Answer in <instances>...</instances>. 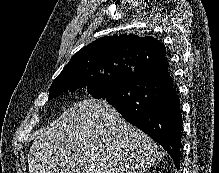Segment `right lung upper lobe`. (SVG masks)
I'll use <instances>...</instances> for the list:
<instances>
[{"label":"right lung upper lobe","instance_id":"cb5924a9","mask_svg":"<svg viewBox=\"0 0 219 173\" xmlns=\"http://www.w3.org/2000/svg\"><path fill=\"white\" fill-rule=\"evenodd\" d=\"M165 54L164 44L151 36L139 37L134 34L104 36L78 51L59 76L67 72L80 74L115 62H125L134 67L146 61L163 62Z\"/></svg>","mask_w":219,"mask_h":173}]
</instances>
